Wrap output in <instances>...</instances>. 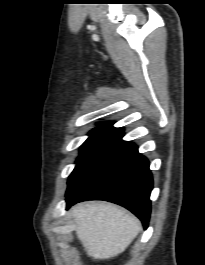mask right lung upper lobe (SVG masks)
Here are the masks:
<instances>
[{
    "label": "right lung upper lobe",
    "instance_id": "cb5924a9",
    "mask_svg": "<svg viewBox=\"0 0 205 265\" xmlns=\"http://www.w3.org/2000/svg\"><path fill=\"white\" fill-rule=\"evenodd\" d=\"M114 122H105V123H102V124H99L100 127H112Z\"/></svg>",
    "mask_w": 205,
    "mask_h": 265
}]
</instances>
